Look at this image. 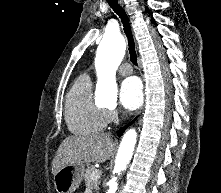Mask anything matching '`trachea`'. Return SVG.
I'll use <instances>...</instances> for the list:
<instances>
[{"instance_id":"obj_1","label":"trachea","mask_w":221,"mask_h":193,"mask_svg":"<svg viewBox=\"0 0 221 193\" xmlns=\"http://www.w3.org/2000/svg\"><path fill=\"white\" fill-rule=\"evenodd\" d=\"M109 4V6L113 9V11L120 17L123 27H124V32L126 34V37L128 39V45H129V53H130V59L131 62L134 65H137V55L135 51V43L134 39L131 33L130 29V24H129V19L127 17V14L123 10V8L118 4L117 0H106Z\"/></svg>"}]
</instances>
